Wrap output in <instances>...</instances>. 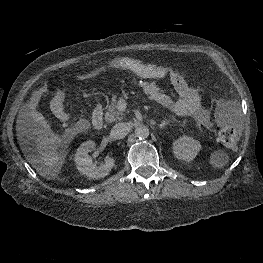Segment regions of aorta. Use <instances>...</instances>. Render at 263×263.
Masks as SVG:
<instances>
[{"instance_id":"762f6f07","label":"aorta","mask_w":263,"mask_h":263,"mask_svg":"<svg viewBox=\"0 0 263 263\" xmlns=\"http://www.w3.org/2000/svg\"><path fill=\"white\" fill-rule=\"evenodd\" d=\"M149 129L144 125H139L135 129V136L139 139H145L149 136Z\"/></svg>"}]
</instances>
